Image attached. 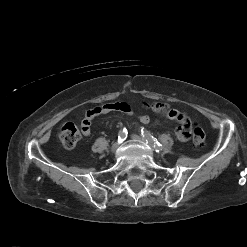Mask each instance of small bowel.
<instances>
[{"label": "small bowel", "mask_w": 247, "mask_h": 247, "mask_svg": "<svg viewBox=\"0 0 247 247\" xmlns=\"http://www.w3.org/2000/svg\"><path fill=\"white\" fill-rule=\"evenodd\" d=\"M112 111H122L127 114H132V109L130 105L125 102L109 103L95 107L86 112L81 122L83 134L86 136L90 135V127L93 120L99 116L105 115ZM167 116L168 118L176 121L177 123V129H176L177 138L181 141L187 140L190 135V130H189L190 123L188 117L183 112L175 109L171 110ZM139 120L141 123L147 124L149 123L150 118L148 115H140Z\"/></svg>", "instance_id": "obj_1"}]
</instances>
